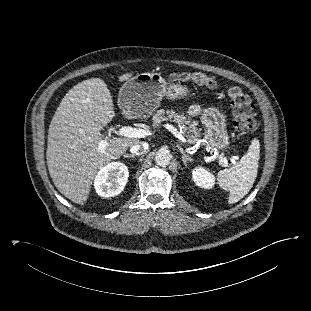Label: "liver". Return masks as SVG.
Here are the masks:
<instances>
[{"mask_svg": "<svg viewBox=\"0 0 311 311\" xmlns=\"http://www.w3.org/2000/svg\"><path fill=\"white\" fill-rule=\"evenodd\" d=\"M132 73L119 77V82ZM130 118L129 115H125ZM115 117L107 84L100 78L84 80L70 89L60 102L49 126L47 166L56 188L77 204H84L98 171L139 144L138 138H103L100 131ZM106 140L104 150L99 149Z\"/></svg>", "mask_w": 311, "mask_h": 311, "instance_id": "1", "label": "liver"}]
</instances>
